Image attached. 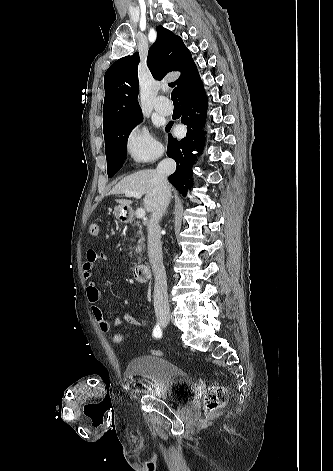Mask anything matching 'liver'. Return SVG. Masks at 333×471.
Masks as SVG:
<instances>
[{
	"mask_svg": "<svg viewBox=\"0 0 333 471\" xmlns=\"http://www.w3.org/2000/svg\"><path fill=\"white\" fill-rule=\"evenodd\" d=\"M127 192L145 194L144 208L147 212L152 213L159 195L156 170L146 169L126 176L113 187L110 194H126ZM118 202L122 206H129L131 204L129 200H118Z\"/></svg>",
	"mask_w": 333,
	"mask_h": 471,
	"instance_id": "6515ba94",
	"label": "liver"
}]
</instances>
